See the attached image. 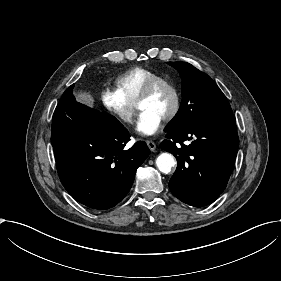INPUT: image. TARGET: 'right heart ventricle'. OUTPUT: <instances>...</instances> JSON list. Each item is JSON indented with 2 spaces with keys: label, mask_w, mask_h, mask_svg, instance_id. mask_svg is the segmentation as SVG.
Segmentation results:
<instances>
[{
  "label": "right heart ventricle",
  "mask_w": 281,
  "mask_h": 281,
  "mask_svg": "<svg viewBox=\"0 0 281 281\" xmlns=\"http://www.w3.org/2000/svg\"><path fill=\"white\" fill-rule=\"evenodd\" d=\"M161 75L146 67H133L117 77L115 83L117 91L131 104H137V100L146 84Z\"/></svg>",
  "instance_id": "obj_1"
}]
</instances>
